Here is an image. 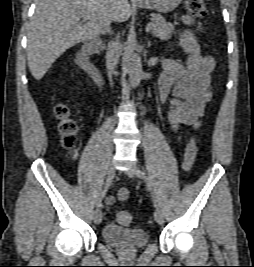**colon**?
I'll return each instance as SVG.
<instances>
[{"label":"colon","mask_w":254,"mask_h":267,"mask_svg":"<svg viewBox=\"0 0 254 267\" xmlns=\"http://www.w3.org/2000/svg\"><path fill=\"white\" fill-rule=\"evenodd\" d=\"M185 7L187 13L198 19V27H203V19L207 13V5L205 0H186ZM54 117L58 120V130L62 138V144L66 149H74L76 146V135L78 126L72 118L71 110L65 103H56L53 108ZM198 153L196 139L191 137L185 147L183 168L190 170L195 162ZM121 225L129 226L132 223V215L127 211H122L117 216Z\"/></svg>","instance_id":"obj_1"}]
</instances>
